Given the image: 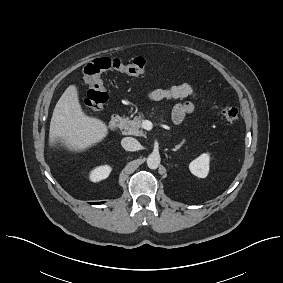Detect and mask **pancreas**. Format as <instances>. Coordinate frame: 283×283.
Instances as JSON below:
<instances>
[{"instance_id": "cf45deb5", "label": "pancreas", "mask_w": 283, "mask_h": 283, "mask_svg": "<svg viewBox=\"0 0 283 283\" xmlns=\"http://www.w3.org/2000/svg\"><path fill=\"white\" fill-rule=\"evenodd\" d=\"M143 115L139 114L135 116L133 120L129 118L123 119L122 128L126 135L142 136L145 137L144 131L142 130Z\"/></svg>"}]
</instances>
